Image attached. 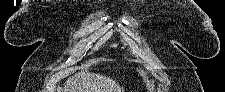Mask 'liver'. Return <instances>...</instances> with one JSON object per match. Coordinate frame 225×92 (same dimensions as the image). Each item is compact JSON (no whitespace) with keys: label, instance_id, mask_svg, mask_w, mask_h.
Wrapping results in <instances>:
<instances>
[{"label":"liver","instance_id":"obj_1","mask_svg":"<svg viewBox=\"0 0 225 92\" xmlns=\"http://www.w3.org/2000/svg\"><path fill=\"white\" fill-rule=\"evenodd\" d=\"M123 88L111 79L100 74L81 71L67 79L65 92H122Z\"/></svg>","mask_w":225,"mask_h":92}]
</instances>
